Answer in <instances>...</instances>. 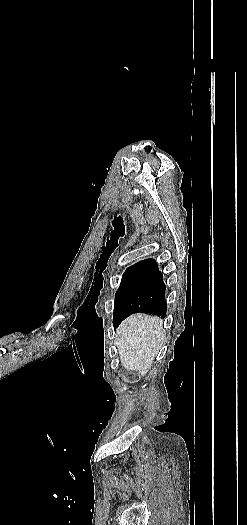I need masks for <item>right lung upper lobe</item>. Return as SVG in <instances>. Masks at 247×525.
<instances>
[{
  "mask_svg": "<svg viewBox=\"0 0 247 525\" xmlns=\"http://www.w3.org/2000/svg\"><path fill=\"white\" fill-rule=\"evenodd\" d=\"M151 261H152L151 259L140 261L134 264L133 266L129 267L126 271L138 270V269L148 267L151 264Z\"/></svg>",
  "mask_w": 247,
  "mask_h": 525,
  "instance_id": "cb5924a9",
  "label": "right lung upper lobe"
}]
</instances>
